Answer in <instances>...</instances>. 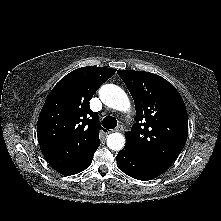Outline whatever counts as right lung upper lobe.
<instances>
[{"label": "right lung upper lobe", "instance_id": "obj_1", "mask_svg": "<svg viewBox=\"0 0 221 221\" xmlns=\"http://www.w3.org/2000/svg\"><path fill=\"white\" fill-rule=\"evenodd\" d=\"M116 69L87 66L63 77L39 114L37 135L47 162L59 173L76 168L100 145L97 114L89 106Z\"/></svg>", "mask_w": 221, "mask_h": 221}]
</instances>
